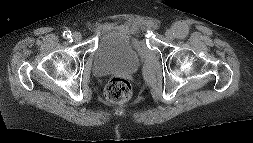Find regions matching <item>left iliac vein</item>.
I'll list each match as a JSON object with an SVG mask.
<instances>
[{
	"label": "left iliac vein",
	"mask_w": 253,
	"mask_h": 143,
	"mask_svg": "<svg viewBox=\"0 0 253 143\" xmlns=\"http://www.w3.org/2000/svg\"><path fill=\"white\" fill-rule=\"evenodd\" d=\"M165 36L168 40H173L175 37H176V33L174 30L172 29H168L166 32H165Z\"/></svg>",
	"instance_id": "1"
}]
</instances>
